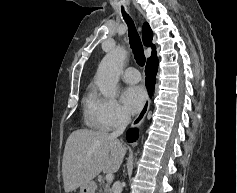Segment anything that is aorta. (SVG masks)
<instances>
[{
    "label": "aorta",
    "mask_w": 237,
    "mask_h": 193,
    "mask_svg": "<svg viewBox=\"0 0 237 193\" xmlns=\"http://www.w3.org/2000/svg\"><path fill=\"white\" fill-rule=\"evenodd\" d=\"M126 55L125 49L117 46L99 64L96 74V84L106 97L113 95L116 91L119 73L123 67Z\"/></svg>",
    "instance_id": "762f6f07"
}]
</instances>
